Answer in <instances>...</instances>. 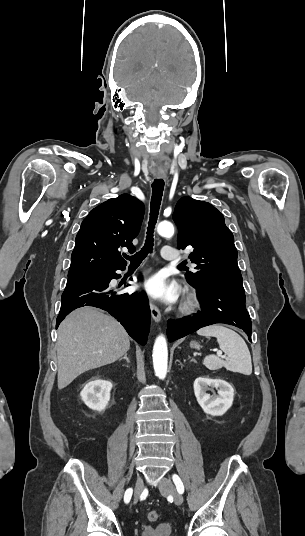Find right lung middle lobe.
I'll return each mask as SVG.
<instances>
[{
  "label": "right lung middle lobe",
  "instance_id": "obj_1",
  "mask_svg": "<svg viewBox=\"0 0 305 536\" xmlns=\"http://www.w3.org/2000/svg\"><path fill=\"white\" fill-rule=\"evenodd\" d=\"M108 273L109 272H101V273H95V274H91V275H87V276H83V277H78V278H85V277H88V278H94V279H104L108 276Z\"/></svg>",
  "mask_w": 305,
  "mask_h": 536
}]
</instances>
